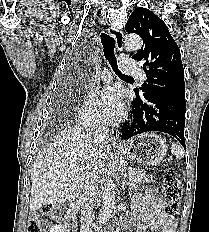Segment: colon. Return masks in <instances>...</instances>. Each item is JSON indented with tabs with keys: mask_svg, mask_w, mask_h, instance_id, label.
<instances>
[{
	"mask_svg": "<svg viewBox=\"0 0 209 232\" xmlns=\"http://www.w3.org/2000/svg\"><path fill=\"white\" fill-rule=\"evenodd\" d=\"M163 195L166 213L174 218L178 213L181 199V181L177 172L170 170L164 175ZM50 214V208H44L41 212L32 214L29 217L27 232H43V224Z\"/></svg>",
	"mask_w": 209,
	"mask_h": 232,
	"instance_id": "5ec220e1",
	"label": "colon"
}]
</instances>
